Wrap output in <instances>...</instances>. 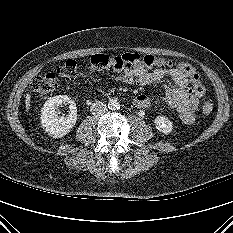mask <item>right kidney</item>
Wrapping results in <instances>:
<instances>
[{
	"label": "right kidney",
	"instance_id": "1",
	"mask_svg": "<svg viewBox=\"0 0 233 233\" xmlns=\"http://www.w3.org/2000/svg\"><path fill=\"white\" fill-rule=\"evenodd\" d=\"M62 103H68L70 112L67 117H60L57 108ZM77 121V108L74 100L67 95H58L48 99L41 110L43 129L53 138L68 134Z\"/></svg>",
	"mask_w": 233,
	"mask_h": 233
}]
</instances>
